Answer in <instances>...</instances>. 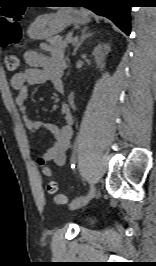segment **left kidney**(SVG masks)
I'll list each match as a JSON object with an SVG mask.
<instances>
[{
    "instance_id": "5707ae66",
    "label": "left kidney",
    "mask_w": 156,
    "mask_h": 266,
    "mask_svg": "<svg viewBox=\"0 0 156 266\" xmlns=\"http://www.w3.org/2000/svg\"><path fill=\"white\" fill-rule=\"evenodd\" d=\"M107 53V46L106 45H98L93 50V56L95 58V62L99 67H104V58Z\"/></svg>"
}]
</instances>
